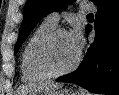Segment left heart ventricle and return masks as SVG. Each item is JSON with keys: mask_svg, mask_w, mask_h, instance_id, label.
<instances>
[{"mask_svg": "<svg viewBox=\"0 0 119 95\" xmlns=\"http://www.w3.org/2000/svg\"><path fill=\"white\" fill-rule=\"evenodd\" d=\"M78 48L74 45L69 34H60L51 44L48 61L55 70H61L73 63Z\"/></svg>", "mask_w": 119, "mask_h": 95, "instance_id": "obj_1", "label": "left heart ventricle"}]
</instances>
